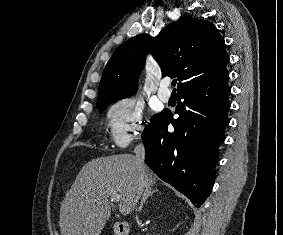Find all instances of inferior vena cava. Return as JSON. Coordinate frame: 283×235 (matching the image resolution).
<instances>
[{
    "label": "inferior vena cava",
    "mask_w": 283,
    "mask_h": 235,
    "mask_svg": "<svg viewBox=\"0 0 283 235\" xmlns=\"http://www.w3.org/2000/svg\"><path fill=\"white\" fill-rule=\"evenodd\" d=\"M134 153H135V161L138 165L139 171H142L143 168L145 167V163H144L145 149H144L143 143H140L135 147ZM141 194H142V190L139 187L138 192H137V196H136V200H135L136 202L141 197Z\"/></svg>",
    "instance_id": "inferior-vena-cava-1"
}]
</instances>
